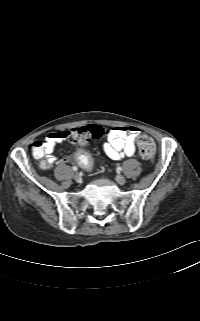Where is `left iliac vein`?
<instances>
[{"instance_id":"obj_1","label":"left iliac vein","mask_w":200,"mask_h":321,"mask_svg":"<svg viewBox=\"0 0 200 321\" xmlns=\"http://www.w3.org/2000/svg\"><path fill=\"white\" fill-rule=\"evenodd\" d=\"M115 180H116L119 184H121V185H123V184L126 183V179H125V177L122 176V175H117L116 178H115Z\"/></svg>"}]
</instances>
